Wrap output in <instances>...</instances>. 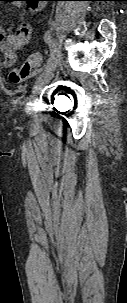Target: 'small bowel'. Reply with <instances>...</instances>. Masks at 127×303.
Here are the masks:
<instances>
[{
    "label": "small bowel",
    "instance_id": "1",
    "mask_svg": "<svg viewBox=\"0 0 127 303\" xmlns=\"http://www.w3.org/2000/svg\"><path fill=\"white\" fill-rule=\"evenodd\" d=\"M29 6L31 9L36 10L43 7L44 4H29ZM30 37L31 27L27 23L21 24L16 32L9 34H6L0 25V47L3 54V65L5 67H11L16 63V51L27 45Z\"/></svg>",
    "mask_w": 127,
    "mask_h": 303
}]
</instances>
